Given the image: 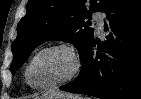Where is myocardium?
<instances>
[{"mask_svg": "<svg viewBox=\"0 0 141 99\" xmlns=\"http://www.w3.org/2000/svg\"><path fill=\"white\" fill-rule=\"evenodd\" d=\"M56 49L65 50L71 55L72 60H73V69H72L71 73L68 76H66L65 78H63L57 82H54V83H50L47 85H41V86L34 85L30 81V78H29V73H30V69H31L32 64L44 52H47L50 50H56ZM81 67H82V61H81L80 54L72 44L65 43V42L54 43V44L43 47L42 49H40L39 51H37L33 55V57L30 59L29 63L27 64V67L25 70V80H26L27 84L34 89H37V90L52 89V88H56V87L62 86L64 84H67V83L71 82L72 80H74L78 76V74L80 73Z\"/></svg>", "mask_w": 141, "mask_h": 99, "instance_id": "f54148a6", "label": "myocardium"}]
</instances>
